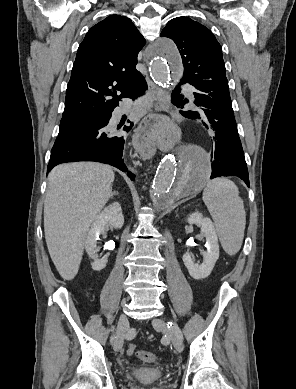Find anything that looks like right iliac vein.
<instances>
[{
    "label": "right iliac vein",
    "instance_id": "1",
    "mask_svg": "<svg viewBox=\"0 0 296 389\" xmlns=\"http://www.w3.org/2000/svg\"><path fill=\"white\" fill-rule=\"evenodd\" d=\"M128 326L129 322L126 315L121 314L117 326V338L114 343L115 351H120L122 349L125 333L128 329Z\"/></svg>",
    "mask_w": 296,
    "mask_h": 389
}]
</instances>
